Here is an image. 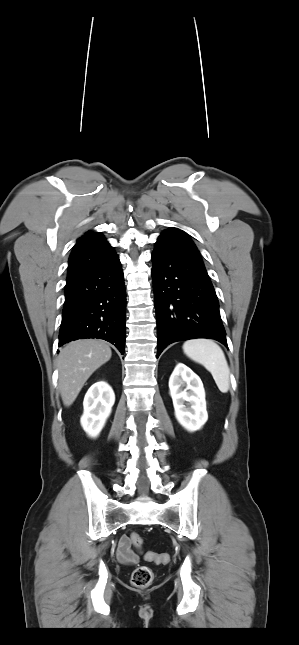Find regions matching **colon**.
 I'll use <instances>...</instances> for the list:
<instances>
[{"instance_id": "obj_1", "label": "colon", "mask_w": 299, "mask_h": 645, "mask_svg": "<svg viewBox=\"0 0 299 645\" xmlns=\"http://www.w3.org/2000/svg\"><path fill=\"white\" fill-rule=\"evenodd\" d=\"M130 539L136 549H140L143 540L142 537L137 534V533H132L130 535ZM146 560L151 561V562H156V563H161V564H166L170 560V556L167 553H156V552H148L145 555ZM153 580V572L150 568L146 566H139L137 567L131 575V583L135 587L138 588H146L148 587Z\"/></svg>"}]
</instances>
